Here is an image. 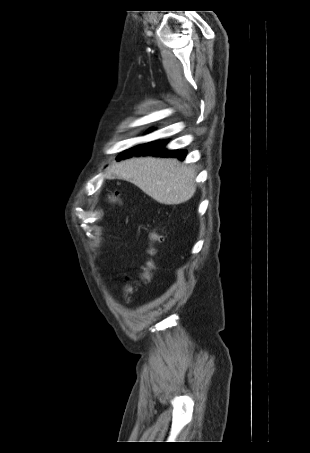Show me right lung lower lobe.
<instances>
[{"mask_svg": "<svg viewBox=\"0 0 310 453\" xmlns=\"http://www.w3.org/2000/svg\"><path fill=\"white\" fill-rule=\"evenodd\" d=\"M166 141H154L147 144L138 145L121 153L117 160L125 159L134 155H158L177 157L183 160L186 156L185 150H167L164 148Z\"/></svg>", "mask_w": 310, "mask_h": 453, "instance_id": "obj_1", "label": "right lung lower lobe"}]
</instances>
